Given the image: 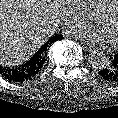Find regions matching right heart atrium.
Wrapping results in <instances>:
<instances>
[{
  "label": "right heart atrium",
  "instance_id": "1",
  "mask_svg": "<svg viewBox=\"0 0 118 118\" xmlns=\"http://www.w3.org/2000/svg\"><path fill=\"white\" fill-rule=\"evenodd\" d=\"M93 15L84 0H67L62 20L69 30H74L92 21Z\"/></svg>",
  "mask_w": 118,
  "mask_h": 118
}]
</instances>
